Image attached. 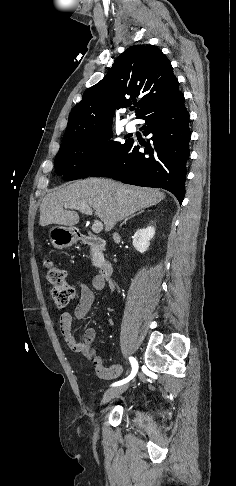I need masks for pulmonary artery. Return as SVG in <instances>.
I'll return each instance as SVG.
<instances>
[{
    "label": "pulmonary artery",
    "instance_id": "1",
    "mask_svg": "<svg viewBox=\"0 0 236 486\" xmlns=\"http://www.w3.org/2000/svg\"><path fill=\"white\" fill-rule=\"evenodd\" d=\"M125 129L127 132H130V133H133L136 131V124L134 121H129L126 126H125Z\"/></svg>",
    "mask_w": 236,
    "mask_h": 486
}]
</instances>
